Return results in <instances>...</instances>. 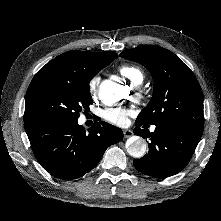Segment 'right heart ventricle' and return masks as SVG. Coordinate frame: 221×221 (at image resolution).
<instances>
[{"mask_svg": "<svg viewBox=\"0 0 221 221\" xmlns=\"http://www.w3.org/2000/svg\"><path fill=\"white\" fill-rule=\"evenodd\" d=\"M119 72L134 85H140L144 80V73L142 69L136 65L123 64L119 67Z\"/></svg>", "mask_w": 221, "mask_h": 221, "instance_id": "right-heart-ventricle-1", "label": "right heart ventricle"}]
</instances>
